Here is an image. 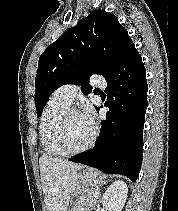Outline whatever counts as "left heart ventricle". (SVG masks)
Here are the masks:
<instances>
[{
  "mask_svg": "<svg viewBox=\"0 0 178 211\" xmlns=\"http://www.w3.org/2000/svg\"><path fill=\"white\" fill-rule=\"evenodd\" d=\"M93 127L89 126L80 114L74 113L69 117L67 127V145L76 150L86 145L92 137Z\"/></svg>",
  "mask_w": 178,
  "mask_h": 211,
  "instance_id": "1",
  "label": "left heart ventricle"
}]
</instances>
